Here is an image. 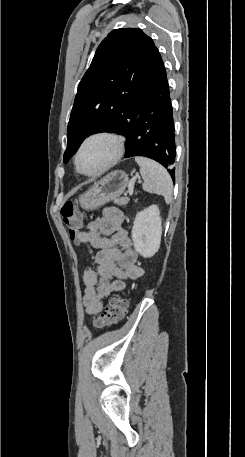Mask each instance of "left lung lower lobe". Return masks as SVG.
<instances>
[{"mask_svg": "<svg viewBox=\"0 0 245 457\" xmlns=\"http://www.w3.org/2000/svg\"><path fill=\"white\" fill-rule=\"evenodd\" d=\"M147 97L109 132L126 137L125 158L144 156L162 164L175 179V129L169 85L161 59Z\"/></svg>", "mask_w": 245, "mask_h": 457, "instance_id": "obj_1", "label": "left lung lower lobe"}]
</instances>
